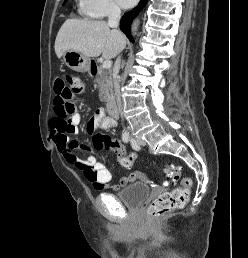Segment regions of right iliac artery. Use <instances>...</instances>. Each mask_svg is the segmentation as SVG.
<instances>
[{
  "mask_svg": "<svg viewBox=\"0 0 248 258\" xmlns=\"http://www.w3.org/2000/svg\"><path fill=\"white\" fill-rule=\"evenodd\" d=\"M122 140H123L125 143H127V142L129 141V134L124 133V134L122 135Z\"/></svg>",
  "mask_w": 248,
  "mask_h": 258,
  "instance_id": "obj_1",
  "label": "right iliac artery"
}]
</instances>
